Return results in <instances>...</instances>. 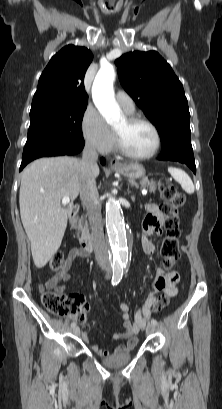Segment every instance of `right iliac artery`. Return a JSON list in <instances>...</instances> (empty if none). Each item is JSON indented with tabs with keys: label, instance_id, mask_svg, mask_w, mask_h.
I'll return each instance as SVG.
<instances>
[{
	"label": "right iliac artery",
	"instance_id": "82829eb1",
	"mask_svg": "<svg viewBox=\"0 0 222 409\" xmlns=\"http://www.w3.org/2000/svg\"><path fill=\"white\" fill-rule=\"evenodd\" d=\"M122 278V273L120 271L113 273V277H112V285H117L120 280ZM71 327L74 328L76 327V322H72L71 323Z\"/></svg>",
	"mask_w": 222,
	"mask_h": 409
}]
</instances>
